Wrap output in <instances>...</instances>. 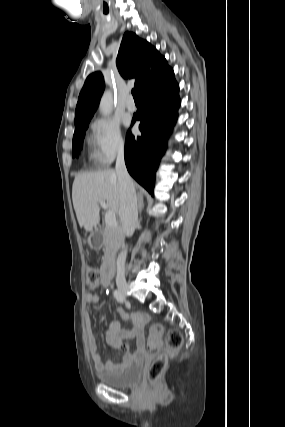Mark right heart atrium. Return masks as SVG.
<instances>
[{
  "mask_svg": "<svg viewBox=\"0 0 285 427\" xmlns=\"http://www.w3.org/2000/svg\"><path fill=\"white\" fill-rule=\"evenodd\" d=\"M90 144L94 158L104 165L110 164L126 148L120 125L111 118H97L91 123Z\"/></svg>",
  "mask_w": 285,
  "mask_h": 427,
  "instance_id": "1",
  "label": "right heart atrium"
}]
</instances>
